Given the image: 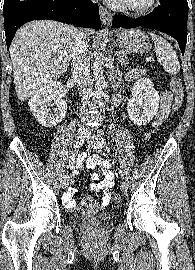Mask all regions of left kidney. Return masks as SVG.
Returning <instances> with one entry per match:
<instances>
[{"label": "left kidney", "instance_id": "left-kidney-1", "mask_svg": "<svg viewBox=\"0 0 195 270\" xmlns=\"http://www.w3.org/2000/svg\"><path fill=\"white\" fill-rule=\"evenodd\" d=\"M132 98L128 100L127 112L135 125L150 123L159 106V94L149 78H140L131 88Z\"/></svg>", "mask_w": 195, "mask_h": 270}]
</instances>
